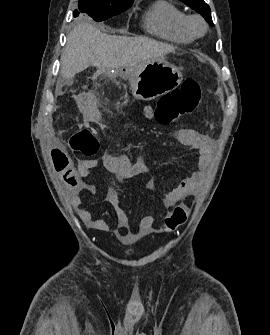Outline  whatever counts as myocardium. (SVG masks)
Masks as SVG:
<instances>
[{
  "label": "myocardium",
  "mask_w": 270,
  "mask_h": 335,
  "mask_svg": "<svg viewBox=\"0 0 270 335\" xmlns=\"http://www.w3.org/2000/svg\"><path fill=\"white\" fill-rule=\"evenodd\" d=\"M186 29L192 34L194 37H202L207 31V25L205 21L197 15H191L186 18L185 21ZM198 26L201 28L198 31Z\"/></svg>",
  "instance_id": "myocardium-1"
}]
</instances>
